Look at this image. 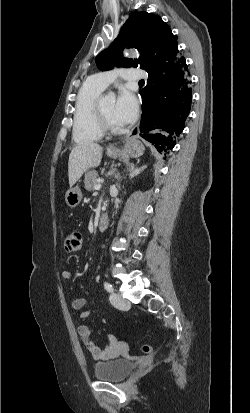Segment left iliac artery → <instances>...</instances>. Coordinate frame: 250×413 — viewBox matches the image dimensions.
Returning <instances> with one entry per match:
<instances>
[{"instance_id":"44dca946","label":"left iliac artery","mask_w":250,"mask_h":413,"mask_svg":"<svg viewBox=\"0 0 250 413\" xmlns=\"http://www.w3.org/2000/svg\"><path fill=\"white\" fill-rule=\"evenodd\" d=\"M104 288H105L108 292H113V291H114L112 285H111L109 282H104Z\"/></svg>"}]
</instances>
